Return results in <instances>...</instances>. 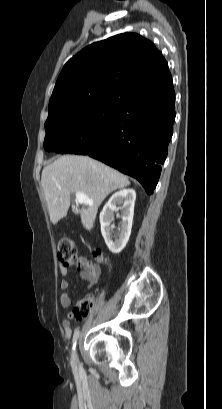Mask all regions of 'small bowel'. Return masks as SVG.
Returning <instances> with one entry per match:
<instances>
[{
    "instance_id": "1",
    "label": "small bowel",
    "mask_w": 222,
    "mask_h": 409,
    "mask_svg": "<svg viewBox=\"0 0 222 409\" xmlns=\"http://www.w3.org/2000/svg\"><path fill=\"white\" fill-rule=\"evenodd\" d=\"M79 261L82 263V266L84 267V271L81 273V277L83 280L87 282L88 288H92L98 281L99 275L101 273V269L99 265H89L88 259L80 256ZM61 272L64 276L67 275V270L65 268L61 269ZM60 287L63 290L68 289L69 287V281L67 279H63L60 283ZM60 304L62 307L67 308L71 305V296L64 292L60 296ZM72 318V314L69 315V319H65L62 322L65 334L67 336L71 335L72 332V327H71V322L70 319Z\"/></svg>"
}]
</instances>
